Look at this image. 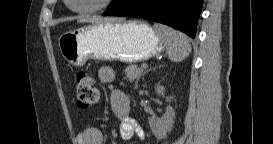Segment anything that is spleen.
Returning <instances> with one entry per match:
<instances>
[{"label": "spleen", "instance_id": "spleen-1", "mask_svg": "<svg viewBox=\"0 0 273 144\" xmlns=\"http://www.w3.org/2000/svg\"><path fill=\"white\" fill-rule=\"evenodd\" d=\"M154 29L164 42L171 61L180 62L189 56L191 45L184 33L160 24H154Z\"/></svg>", "mask_w": 273, "mask_h": 144}]
</instances>
